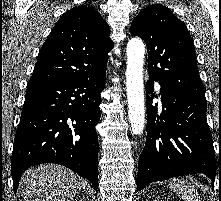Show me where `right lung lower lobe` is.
Wrapping results in <instances>:
<instances>
[{"label": "right lung lower lobe", "mask_w": 221, "mask_h": 201, "mask_svg": "<svg viewBox=\"0 0 221 201\" xmlns=\"http://www.w3.org/2000/svg\"><path fill=\"white\" fill-rule=\"evenodd\" d=\"M106 72L57 83H28L16 132L11 170L14 192L21 175L40 163L64 165L98 186L100 93Z\"/></svg>", "instance_id": "obj_1"}]
</instances>
